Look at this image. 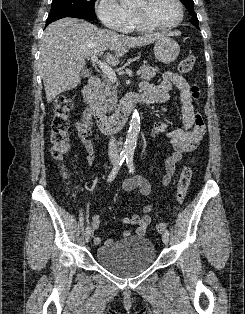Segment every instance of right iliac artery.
I'll return each mask as SVG.
<instances>
[{
    "instance_id": "obj_1",
    "label": "right iliac artery",
    "mask_w": 245,
    "mask_h": 314,
    "mask_svg": "<svg viewBox=\"0 0 245 314\" xmlns=\"http://www.w3.org/2000/svg\"><path fill=\"white\" fill-rule=\"evenodd\" d=\"M126 157H127V155L125 153H121L119 155V157H118V159H117V161H116L112 171L110 172V174L108 176V179H107L108 182H111V181H113L115 179V177L117 176L118 171H119L120 167L122 166V164H123V162H124ZM90 231H91L90 227L87 226L86 227V233H88Z\"/></svg>"
}]
</instances>
